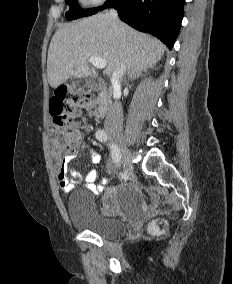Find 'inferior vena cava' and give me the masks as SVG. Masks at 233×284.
<instances>
[{
  "label": "inferior vena cava",
  "instance_id": "inferior-vena-cava-1",
  "mask_svg": "<svg viewBox=\"0 0 233 284\" xmlns=\"http://www.w3.org/2000/svg\"><path fill=\"white\" fill-rule=\"evenodd\" d=\"M109 15L113 17L114 19H117V11L114 9H111L109 11ZM126 71L125 64L122 62L120 65L116 68L115 72L112 75V83L114 87H120V81L122 79V76L124 75ZM122 123H123V111L122 106L120 103H113L110 105L108 109V113L105 120V128L108 131L114 130V131H121L122 129Z\"/></svg>",
  "mask_w": 233,
  "mask_h": 284
}]
</instances>
